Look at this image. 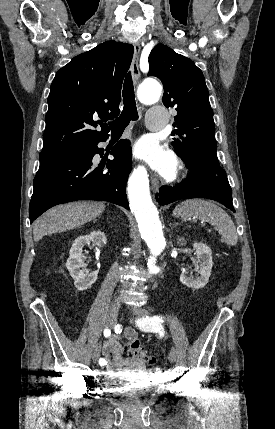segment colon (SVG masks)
Listing matches in <instances>:
<instances>
[{
    "mask_svg": "<svg viewBox=\"0 0 275 429\" xmlns=\"http://www.w3.org/2000/svg\"><path fill=\"white\" fill-rule=\"evenodd\" d=\"M131 352L133 353V355L136 357L137 360L144 362L149 367H151L154 364V358L146 354V352L143 350L138 340L133 341L131 343Z\"/></svg>",
    "mask_w": 275,
    "mask_h": 429,
    "instance_id": "1",
    "label": "colon"
}]
</instances>
